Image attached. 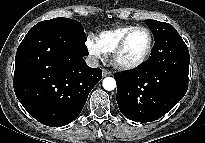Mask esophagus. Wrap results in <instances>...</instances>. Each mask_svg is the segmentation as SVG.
I'll return each instance as SVG.
<instances>
[{"label": "esophagus", "instance_id": "34e87169", "mask_svg": "<svg viewBox=\"0 0 205 143\" xmlns=\"http://www.w3.org/2000/svg\"><path fill=\"white\" fill-rule=\"evenodd\" d=\"M102 74H103L104 77H106V76L112 75V72L109 71V70H107V69H103V70H102Z\"/></svg>", "mask_w": 205, "mask_h": 143}]
</instances>
